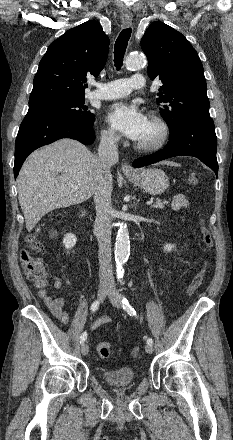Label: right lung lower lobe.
Wrapping results in <instances>:
<instances>
[{
  "label": "right lung lower lobe",
  "mask_w": 233,
  "mask_h": 440,
  "mask_svg": "<svg viewBox=\"0 0 233 440\" xmlns=\"http://www.w3.org/2000/svg\"><path fill=\"white\" fill-rule=\"evenodd\" d=\"M61 138H72L85 145L92 144L95 133L92 127L49 113H27L19 128L15 143L14 176L27 156L35 149Z\"/></svg>",
  "instance_id": "obj_1"
}]
</instances>
